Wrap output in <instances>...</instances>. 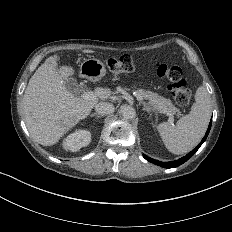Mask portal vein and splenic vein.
Segmentation results:
<instances>
[{"label":"portal vein and splenic vein","mask_w":232,"mask_h":232,"mask_svg":"<svg viewBox=\"0 0 232 232\" xmlns=\"http://www.w3.org/2000/svg\"><path fill=\"white\" fill-rule=\"evenodd\" d=\"M81 97L85 100H91V101H97L98 98L97 96L92 92V91H89V92H84ZM137 100L138 101H142L143 100V97L140 96V95H137L136 96ZM163 113V112H162ZM169 116H171V114L167 113Z\"/></svg>","instance_id":"18ae733b"}]
</instances>
